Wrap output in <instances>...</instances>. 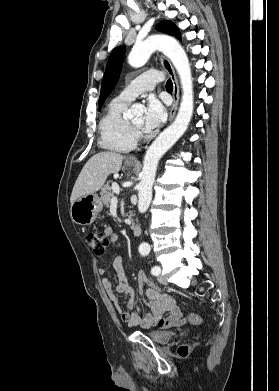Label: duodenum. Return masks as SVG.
Returning <instances> with one entry per match:
<instances>
[{
    "label": "duodenum",
    "mask_w": 279,
    "mask_h": 391,
    "mask_svg": "<svg viewBox=\"0 0 279 391\" xmlns=\"http://www.w3.org/2000/svg\"><path fill=\"white\" fill-rule=\"evenodd\" d=\"M132 235L138 237L141 235V227L138 224H134L132 227Z\"/></svg>",
    "instance_id": "obj_1"
}]
</instances>
